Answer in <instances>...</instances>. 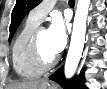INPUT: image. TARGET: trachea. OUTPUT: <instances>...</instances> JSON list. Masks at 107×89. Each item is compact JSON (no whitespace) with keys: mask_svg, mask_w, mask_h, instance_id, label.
<instances>
[{"mask_svg":"<svg viewBox=\"0 0 107 89\" xmlns=\"http://www.w3.org/2000/svg\"><path fill=\"white\" fill-rule=\"evenodd\" d=\"M69 5H74L75 4V0H69Z\"/></svg>","mask_w":107,"mask_h":89,"instance_id":"trachea-1","label":"trachea"}]
</instances>
